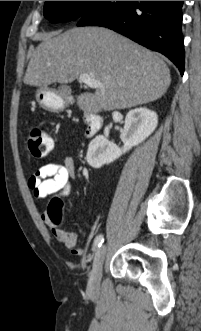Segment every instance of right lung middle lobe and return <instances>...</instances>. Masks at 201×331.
Wrapping results in <instances>:
<instances>
[{
	"label": "right lung middle lobe",
	"mask_w": 201,
	"mask_h": 331,
	"mask_svg": "<svg viewBox=\"0 0 201 331\" xmlns=\"http://www.w3.org/2000/svg\"><path fill=\"white\" fill-rule=\"evenodd\" d=\"M103 1H46L44 16L51 22L80 19Z\"/></svg>",
	"instance_id": "dd1d6c3e"
}]
</instances>
